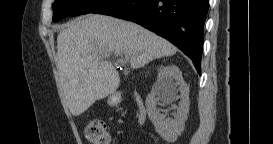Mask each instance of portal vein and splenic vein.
I'll return each instance as SVG.
<instances>
[{"mask_svg":"<svg viewBox=\"0 0 273 144\" xmlns=\"http://www.w3.org/2000/svg\"><path fill=\"white\" fill-rule=\"evenodd\" d=\"M118 57V55H116ZM124 57L126 61L130 60V55L128 53H124Z\"/></svg>","mask_w":273,"mask_h":144,"instance_id":"1","label":"portal vein and splenic vein"}]
</instances>
